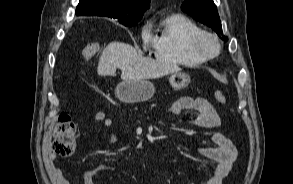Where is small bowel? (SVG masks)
Returning <instances> with one entry per match:
<instances>
[{"label":"small bowel","mask_w":293,"mask_h":184,"mask_svg":"<svg viewBox=\"0 0 293 184\" xmlns=\"http://www.w3.org/2000/svg\"><path fill=\"white\" fill-rule=\"evenodd\" d=\"M169 112L177 116L192 112L193 115L188 118V121L198 126L218 128L221 125V119L213 105L202 97H183L170 107ZM93 120L96 123H101L105 127H111L113 124L112 119L106 117L105 113L102 111L95 112ZM211 140L214 146L199 148V152L203 156L216 163L211 176L205 180L203 184H223L224 179L231 171L233 162L237 157V149L233 141L221 132L216 131L212 133ZM108 141L110 143L115 142L116 135L114 133L111 134ZM48 170L56 184H73L71 180L64 175L62 169L54 162V159H51L49 162ZM112 170H114V168L106 164H100L90 168L84 174V184H93V177L96 174Z\"/></svg>","instance_id":"obj_1"}]
</instances>
